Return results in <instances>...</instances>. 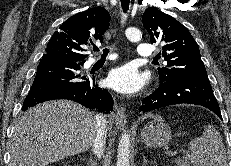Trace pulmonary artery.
I'll use <instances>...</instances> for the list:
<instances>
[{"instance_id": "pulmonary-artery-1", "label": "pulmonary artery", "mask_w": 231, "mask_h": 166, "mask_svg": "<svg viewBox=\"0 0 231 166\" xmlns=\"http://www.w3.org/2000/svg\"><path fill=\"white\" fill-rule=\"evenodd\" d=\"M137 54L141 57H152L154 55V47L151 46L150 44H145V43H141L138 45L137 47ZM116 56L115 55H110L108 57L109 60H113L115 59ZM95 60H93V62H95Z\"/></svg>"}]
</instances>
